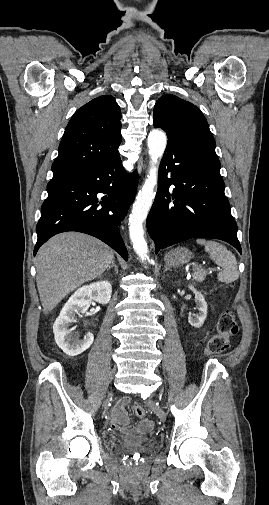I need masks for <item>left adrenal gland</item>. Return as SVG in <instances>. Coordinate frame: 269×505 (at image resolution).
Returning a JSON list of instances; mask_svg holds the SVG:
<instances>
[{"instance_id":"a2214340","label":"left adrenal gland","mask_w":269,"mask_h":505,"mask_svg":"<svg viewBox=\"0 0 269 505\" xmlns=\"http://www.w3.org/2000/svg\"><path fill=\"white\" fill-rule=\"evenodd\" d=\"M168 270H171V269H170V268H168V267L165 265V269H164L163 273H165V272H166V271H168Z\"/></svg>"}]
</instances>
